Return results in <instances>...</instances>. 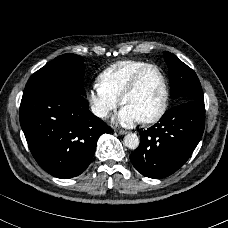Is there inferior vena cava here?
I'll list each match as a JSON object with an SVG mask.
<instances>
[{"mask_svg":"<svg viewBox=\"0 0 228 228\" xmlns=\"http://www.w3.org/2000/svg\"><path fill=\"white\" fill-rule=\"evenodd\" d=\"M93 113L98 116V117H105L106 116V111L102 110V109H96V108H93L92 109Z\"/></svg>","mask_w":228,"mask_h":228,"instance_id":"obj_1","label":"inferior vena cava"}]
</instances>
